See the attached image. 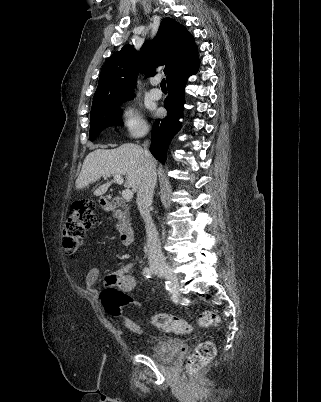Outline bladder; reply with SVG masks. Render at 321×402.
Masks as SVG:
<instances>
[{"instance_id":"obj_1","label":"bladder","mask_w":321,"mask_h":402,"mask_svg":"<svg viewBox=\"0 0 321 402\" xmlns=\"http://www.w3.org/2000/svg\"><path fill=\"white\" fill-rule=\"evenodd\" d=\"M176 352L177 344L175 340L169 336H162L151 349V355L162 361L172 360Z\"/></svg>"}]
</instances>
